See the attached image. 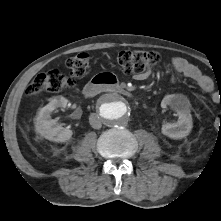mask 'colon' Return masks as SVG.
<instances>
[{
	"mask_svg": "<svg viewBox=\"0 0 221 221\" xmlns=\"http://www.w3.org/2000/svg\"><path fill=\"white\" fill-rule=\"evenodd\" d=\"M161 56L155 51L125 50L116 59L119 68L126 74H141L157 65ZM90 66V56L86 52L67 59L66 67L70 75L52 70L36 76L27 87V94L34 95L42 91L58 92L73 87V77H82ZM221 103V98H220ZM221 121V116H220Z\"/></svg>",
	"mask_w": 221,
	"mask_h": 221,
	"instance_id": "5ec220e1",
	"label": "colon"
}]
</instances>
